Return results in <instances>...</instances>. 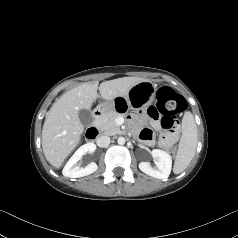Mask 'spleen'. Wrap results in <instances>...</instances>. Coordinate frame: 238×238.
<instances>
[{
    "mask_svg": "<svg viewBox=\"0 0 238 238\" xmlns=\"http://www.w3.org/2000/svg\"><path fill=\"white\" fill-rule=\"evenodd\" d=\"M197 147V127L191 112H185L182 119V136L180 138L173 171L183 172L192 161Z\"/></svg>",
    "mask_w": 238,
    "mask_h": 238,
    "instance_id": "1",
    "label": "spleen"
}]
</instances>
